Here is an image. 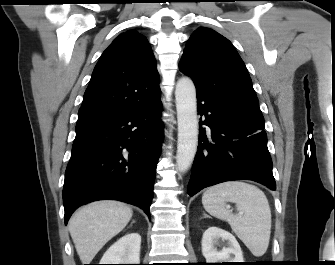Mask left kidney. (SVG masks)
Returning a JSON list of instances; mask_svg holds the SVG:
<instances>
[{"label": "left kidney", "instance_id": "left-kidney-1", "mask_svg": "<svg viewBox=\"0 0 335 265\" xmlns=\"http://www.w3.org/2000/svg\"><path fill=\"white\" fill-rule=\"evenodd\" d=\"M202 254L207 263L243 262V254L236 238L228 231L212 226L202 237ZM223 245L221 250L217 247ZM233 255V256H232Z\"/></svg>", "mask_w": 335, "mask_h": 265}]
</instances>
